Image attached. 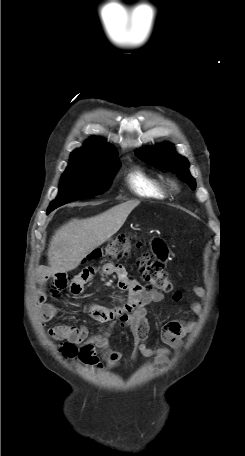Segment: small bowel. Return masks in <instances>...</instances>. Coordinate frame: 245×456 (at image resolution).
<instances>
[{"label":"small bowel","mask_w":245,"mask_h":456,"mask_svg":"<svg viewBox=\"0 0 245 456\" xmlns=\"http://www.w3.org/2000/svg\"><path fill=\"white\" fill-rule=\"evenodd\" d=\"M115 275L118 278V286L128 293L125 301L113 308L98 304H90L88 312L97 321L105 323V326L96 333L91 334L84 326L59 325L49 330V335L55 340H67L79 346L78 355L86 364L100 366L97 353L105 359L108 365L115 366L119 363L122 354L113 351L109 347V338L116 328H127L131 331L134 340L133 359L138 355L155 357L158 363L164 362L169 354V348L178 349L182 346V340L194 328V323L184 319H172L161 327L160 337L167 347L149 348L146 340L149 333L146 307L150 303L160 302L164 299L162 292L145 289L139 282L130 276L123 265L109 262L99 267L89 266L84 268L72 280L64 272H55L52 277L53 284L50 290L45 287L47 279L43 278L37 284L35 303L39 320L45 323L59 313L58 307L47 301L48 294H57L69 286L71 292L78 295L82 292L86 283L90 282L96 274ZM190 293L200 299L190 301L189 307L196 315L203 314V306L206 301V291L201 286H192Z\"/></svg>","instance_id":"c3829d8e"}]
</instances>
